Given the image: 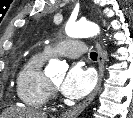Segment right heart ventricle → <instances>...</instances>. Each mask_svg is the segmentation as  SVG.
I'll list each match as a JSON object with an SVG mask.
<instances>
[{
  "instance_id": "e07e8e85",
  "label": "right heart ventricle",
  "mask_w": 133,
  "mask_h": 118,
  "mask_svg": "<svg viewBox=\"0 0 133 118\" xmlns=\"http://www.w3.org/2000/svg\"><path fill=\"white\" fill-rule=\"evenodd\" d=\"M46 53L33 54L21 68L16 81V94L21 103L29 108L43 107L50 97L49 78L42 65Z\"/></svg>"
}]
</instances>
